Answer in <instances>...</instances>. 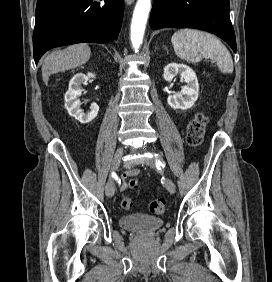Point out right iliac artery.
<instances>
[{"label": "right iliac artery", "instance_id": "1", "mask_svg": "<svg viewBox=\"0 0 272 282\" xmlns=\"http://www.w3.org/2000/svg\"><path fill=\"white\" fill-rule=\"evenodd\" d=\"M112 176H113V177H115V176H116L115 172H112Z\"/></svg>", "mask_w": 272, "mask_h": 282}]
</instances>
